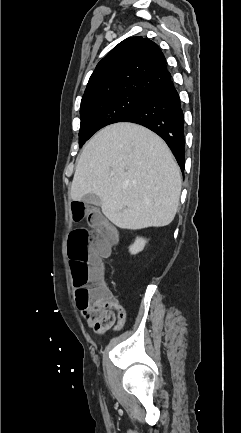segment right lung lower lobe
Masks as SVG:
<instances>
[{
  "label": "right lung lower lobe",
  "mask_w": 241,
  "mask_h": 433,
  "mask_svg": "<svg viewBox=\"0 0 241 433\" xmlns=\"http://www.w3.org/2000/svg\"><path fill=\"white\" fill-rule=\"evenodd\" d=\"M143 125L165 140L172 150L181 170H184V115L174 82L152 88L143 104L122 120ZM183 153V154H182Z\"/></svg>",
  "instance_id": "obj_1"
}]
</instances>
